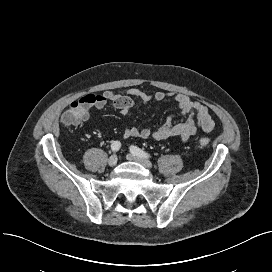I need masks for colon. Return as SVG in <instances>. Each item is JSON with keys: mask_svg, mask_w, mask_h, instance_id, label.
Wrapping results in <instances>:
<instances>
[{"mask_svg": "<svg viewBox=\"0 0 272 272\" xmlns=\"http://www.w3.org/2000/svg\"><path fill=\"white\" fill-rule=\"evenodd\" d=\"M198 144L201 148H205L209 145V140L207 138H201L199 139Z\"/></svg>", "mask_w": 272, "mask_h": 272, "instance_id": "obj_1", "label": "colon"}]
</instances>
